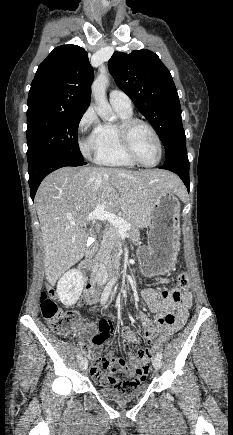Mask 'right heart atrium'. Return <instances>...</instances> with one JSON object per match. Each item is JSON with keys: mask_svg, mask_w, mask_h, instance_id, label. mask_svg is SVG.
I'll return each mask as SVG.
<instances>
[{"mask_svg": "<svg viewBox=\"0 0 233 435\" xmlns=\"http://www.w3.org/2000/svg\"><path fill=\"white\" fill-rule=\"evenodd\" d=\"M100 128L99 118L93 108L85 111L78 124L79 144L82 153L91 157L99 148L98 134ZM92 130L89 135H86Z\"/></svg>", "mask_w": 233, "mask_h": 435, "instance_id": "1", "label": "right heart atrium"}]
</instances>
